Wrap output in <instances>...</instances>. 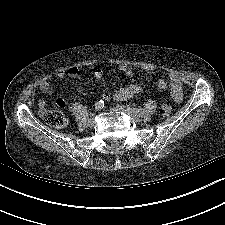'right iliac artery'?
<instances>
[{"label": "right iliac artery", "instance_id": "obj_1", "mask_svg": "<svg viewBox=\"0 0 225 225\" xmlns=\"http://www.w3.org/2000/svg\"><path fill=\"white\" fill-rule=\"evenodd\" d=\"M104 108V101L100 100L95 104V110L100 111Z\"/></svg>", "mask_w": 225, "mask_h": 225}]
</instances>
